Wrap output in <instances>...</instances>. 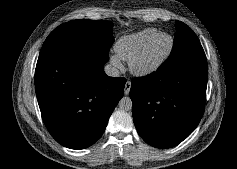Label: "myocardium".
Here are the masks:
<instances>
[{
	"label": "myocardium",
	"mask_w": 237,
	"mask_h": 169,
	"mask_svg": "<svg viewBox=\"0 0 237 169\" xmlns=\"http://www.w3.org/2000/svg\"><path fill=\"white\" fill-rule=\"evenodd\" d=\"M161 36H167L169 38V47L167 51L158 58L156 61L143 65L142 62L147 54L148 50L154 44V42ZM174 47V38L167 32H160L153 37L141 50L140 52L130 61V70L137 76H146L156 71L171 55Z\"/></svg>",
	"instance_id": "1"
}]
</instances>
